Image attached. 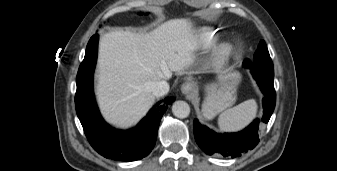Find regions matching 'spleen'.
Here are the masks:
<instances>
[{
    "label": "spleen",
    "mask_w": 337,
    "mask_h": 171,
    "mask_svg": "<svg viewBox=\"0 0 337 171\" xmlns=\"http://www.w3.org/2000/svg\"><path fill=\"white\" fill-rule=\"evenodd\" d=\"M257 103L246 100L220 114L218 125L221 131H238L248 125L256 116Z\"/></svg>",
    "instance_id": "1"
}]
</instances>
